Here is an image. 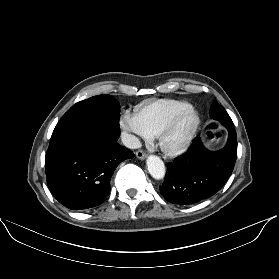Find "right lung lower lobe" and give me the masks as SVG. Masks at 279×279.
Instances as JSON below:
<instances>
[{"label": "right lung lower lobe", "instance_id": "1", "mask_svg": "<svg viewBox=\"0 0 279 279\" xmlns=\"http://www.w3.org/2000/svg\"><path fill=\"white\" fill-rule=\"evenodd\" d=\"M119 119L103 117L52 135L45 157L48 187L65 207L82 210L101 204L116 167L134 154L119 145Z\"/></svg>", "mask_w": 279, "mask_h": 279}]
</instances>
